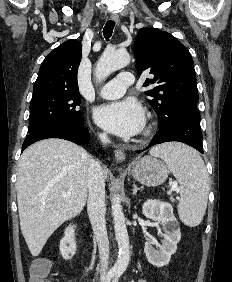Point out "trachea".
<instances>
[{
  "mask_svg": "<svg viewBox=\"0 0 232 282\" xmlns=\"http://www.w3.org/2000/svg\"><path fill=\"white\" fill-rule=\"evenodd\" d=\"M114 26H115L114 21L109 20L106 22L105 27L103 28V35L106 40H109V38L112 36Z\"/></svg>",
  "mask_w": 232,
  "mask_h": 282,
  "instance_id": "1",
  "label": "trachea"
}]
</instances>
